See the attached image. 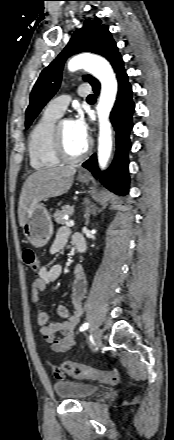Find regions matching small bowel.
I'll list each match as a JSON object with an SVG mask.
<instances>
[{"mask_svg": "<svg viewBox=\"0 0 174 440\" xmlns=\"http://www.w3.org/2000/svg\"><path fill=\"white\" fill-rule=\"evenodd\" d=\"M77 235H71L66 227H61L50 247V253L57 255L64 250L68 242L75 245ZM62 273V267L59 264L51 266L43 265L40 268L37 278L32 283L31 302L37 311L36 323L44 340L50 344L54 352H65L75 345V328L80 321L83 313L82 302L87 289V280L84 270L81 266H76L72 271L71 286V304L72 311L67 307L59 305L56 309L60 322L49 323V316L43 308L40 299V293L43 292L51 283L55 282ZM54 375L61 380L64 377L63 372L57 367H53Z\"/></svg>", "mask_w": 174, "mask_h": 440, "instance_id": "obj_1", "label": "small bowel"}]
</instances>
